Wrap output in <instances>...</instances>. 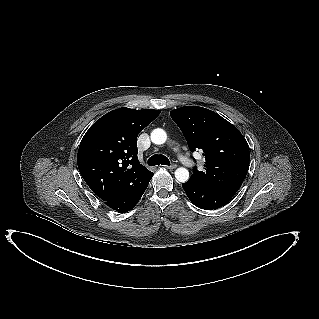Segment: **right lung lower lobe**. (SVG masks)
Segmentation results:
<instances>
[{
  "label": "right lung lower lobe",
  "instance_id": "1",
  "mask_svg": "<svg viewBox=\"0 0 319 319\" xmlns=\"http://www.w3.org/2000/svg\"><path fill=\"white\" fill-rule=\"evenodd\" d=\"M152 176L153 173L149 171L141 181L131 185L113 199L106 201L105 204L120 213L131 210L142 197Z\"/></svg>",
  "mask_w": 319,
  "mask_h": 319
}]
</instances>
